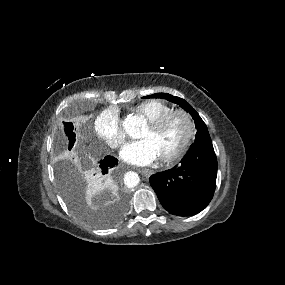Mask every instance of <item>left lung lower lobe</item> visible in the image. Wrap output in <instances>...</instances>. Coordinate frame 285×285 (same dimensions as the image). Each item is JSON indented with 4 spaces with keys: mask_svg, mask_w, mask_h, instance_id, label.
I'll use <instances>...</instances> for the list:
<instances>
[{
    "mask_svg": "<svg viewBox=\"0 0 285 285\" xmlns=\"http://www.w3.org/2000/svg\"><path fill=\"white\" fill-rule=\"evenodd\" d=\"M217 158L212 141L192 146L181 162L150 177L162 206L171 214L190 216L202 211L216 188Z\"/></svg>",
    "mask_w": 285,
    "mask_h": 285,
    "instance_id": "left-lung-lower-lobe-1",
    "label": "left lung lower lobe"
}]
</instances>
